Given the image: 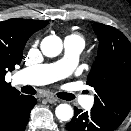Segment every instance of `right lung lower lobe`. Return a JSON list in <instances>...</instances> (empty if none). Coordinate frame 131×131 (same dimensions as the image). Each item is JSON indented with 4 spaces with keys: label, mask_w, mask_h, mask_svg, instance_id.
Wrapping results in <instances>:
<instances>
[{
    "label": "right lung lower lobe",
    "mask_w": 131,
    "mask_h": 131,
    "mask_svg": "<svg viewBox=\"0 0 131 131\" xmlns=\"http://www.w3.org/2000/svg\"><path fill=\"white\" fill-rule=\"evenodd\" d=\"M36 102L33 96L23 95L7 112L6 121L0 126V131H24Z\"/></svg>",
    "instance_id": "98d812e1"
}]
</instances>
